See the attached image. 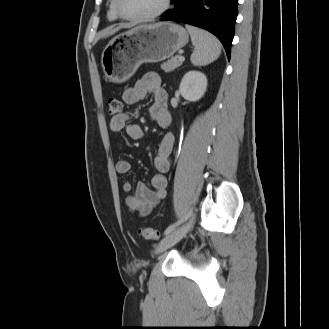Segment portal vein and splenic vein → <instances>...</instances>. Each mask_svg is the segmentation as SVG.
Here are the masks:
<instances>
[{
  "mask_svg": "<svg viewBox=\"0 0 329 329\" xmlns=\"http://www.w3.org/2000/svg\"><path fill=\"white\" fill-rule=\"evenodd\" d=\"M185 60V58L183 56L179 57V61L183 62Z\"/></svg>",
  "mask_w": 329,
  "mask_h": 329,
  "instance_id": "1",
  "label": "portal vein and splenic vein"
}]
</instances>
